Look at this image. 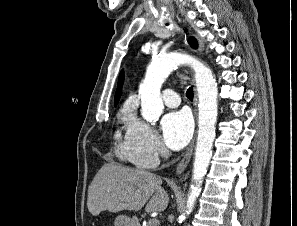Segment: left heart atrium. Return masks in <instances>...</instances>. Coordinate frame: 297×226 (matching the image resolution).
<instances>
[{"label":"left heart atrium","instance_id":"1","mask_svg":"<svg viewBox=\"0 0 297 226\" xmlns=\"http://www.w3.org/2000/svg\"><path fill=\"white\" fill-rule=\"evenodd\" d=\"M161 128L165 144L170 149L180 150L192 136L193 123L186 111H174L162 118Z\"/></svg>","mask_w":297,"mask_h":226}]
</instances>
